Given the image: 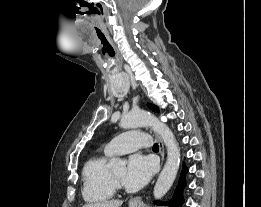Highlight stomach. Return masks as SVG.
<instances>
[{
  "mask_svg": "<svg viewBox=\"0 0 261 207\" xmlns=\"http://www.w3.org/2000/svg\"><path fill=\"white\" fill-rule=\"evenodd\" d=\"M129 207H146V206L143 203L134 204V203L130 202Z\"/></svg>",
  "mask_w": 261,
  "mask_h": 207,
  "instance_id": "0dacf381",
  "label": "stomach"
}]
</instances>
